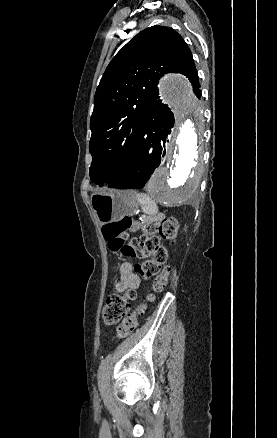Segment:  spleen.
<instances>
[{"label": "spleen", "instance_id": "obj_1", "mask_svg": "<svg viewBox=\"0 0 277 438\" xmlns=\"http://www.w3.org/2000/svg\"><path fill=\"white\" fill-rule=\"evenodd\" d=\"M137 198L141 204V208L144 214H149V216H154L158 212V206L148 194H137Z\"/></svg>", "mask_w": 277, "mask_h": 438}]
</instances>
